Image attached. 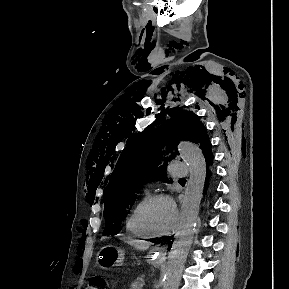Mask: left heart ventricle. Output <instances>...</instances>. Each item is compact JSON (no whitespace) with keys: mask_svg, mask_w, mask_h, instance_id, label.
<instances>
[{"mask_svg":"<svg viewBox=\"0 0 289 289\" xmlns=\"http://www.w3.org/2000/svg\"><path fill=\"white\" fill-rule=\"evenodd\" d=\"M146 220L149 226L156 231L167 230L174 220L172 204L167 200H158L148 210Z\"/></svg>","mask_w":289,"mask_h":289,"instance_id":"obj_1","label":"left heart ventricle"}]
</instances>
